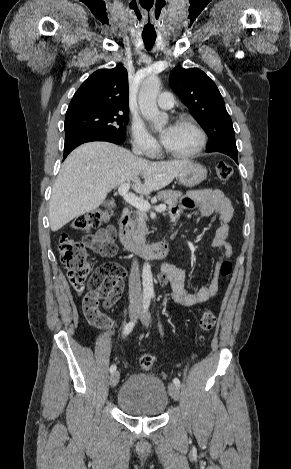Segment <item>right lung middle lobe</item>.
Here are the masks:
<instances>
[{"label": "right lung middle lobe", "mask_w": 291, "mask_h": 469, "mask_svg": "<svg viewBox=\"0 0 291 469\" xmlns=\"http://www.w3.org/2000/svg\"><path fill=\"white\" fill-rule=\"evenodd\" d=\"M128 112L113 110H81L66 113L65 134L103 133L111 135L125 134Z\"/></svg>", "instance_id": "1"}]
</instances>
